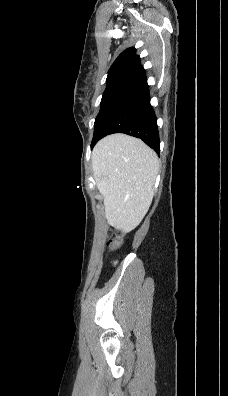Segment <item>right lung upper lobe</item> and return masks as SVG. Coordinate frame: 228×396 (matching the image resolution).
<instances>
[{"label":"right lung upper lobe","instance_id":"right-lung-upper-lobe-1","mask_svg":"<svg viewBox=\"0 0 228 396\" xmlns=\"http://www.w3.org/2000/svg\"><path fill=\"white\" fill-rule=\"evenodd\" d=\"M144 75L145 70L140 64L135 48H128L112 64L107 76V86L127 87Z\"/></svg>","mask_w":228,"mask_h":396}]
</instances>
